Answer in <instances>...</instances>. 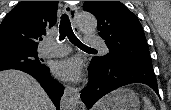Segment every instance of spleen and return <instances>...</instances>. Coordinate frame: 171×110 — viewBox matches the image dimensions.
<instances>
[{
    "instance_id": "3e777b00",
    "label": "spleen",
    "mask_w": 171,
    "mask_h": 110,
    "mask_svg": "<svg viewBox=\"0 0 171 110\" xmlns=\"http://www.w3.org/2000/svg\"><path fill=\"white\" fill-rule=\"evenodd\" d=\"M144 101V110H155V107L152 106L151 101L147 97L142 98Z\"/></svg>"
}]
</instances>
